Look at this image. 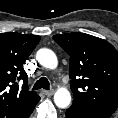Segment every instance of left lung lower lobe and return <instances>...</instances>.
Here are the masks:
<instances>
[{"instance_id": "left-lung-lower-lobe-1", "label": "left lung lower lobe", "mask_w": 118, "mask_h": 118, "mask_svg": "<svg viewBox=\"0 0 118 118\" xmlns=\"http://www.w3.org/2000/svg\"><path fill=\"white\" fill-rule=\"evenodd\" d=\"M65 115L67 118H110L111 113L71 106L67 109Z\"/></svg>"}]
</instances>
